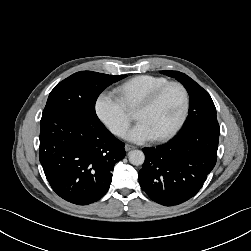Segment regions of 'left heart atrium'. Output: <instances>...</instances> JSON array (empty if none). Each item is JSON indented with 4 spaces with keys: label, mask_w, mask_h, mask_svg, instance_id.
<instances>
[{
    "label": "left heart atrium",
    "mask_w": 251,
    "mask_h": 251,
    "mask_svg": "<svg viewBox=\"0 0 251 251\" xmlns=\"http://www.w3.org/2000/svg\"><path fill=\"white\" fill-rule=\"evenodd\" d=\"M124 137L136 143L147 142L155 138L148 125L143 121H138L135 126L125 133Z\"/></svg>",
    "instance_id": "obj_1"
}]
</instances>
